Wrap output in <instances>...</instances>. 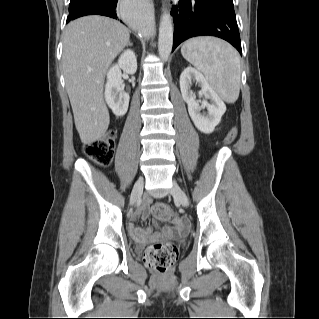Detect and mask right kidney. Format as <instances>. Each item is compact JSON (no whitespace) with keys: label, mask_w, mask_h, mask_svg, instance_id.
<instances>
[{"label":"right kidney","mask_w":319,"mask_h":319,"mask_svg":"<svg viewBox=\"0 0 319 319\" xmlns=\"http://www.w3.org/2000/svg\"><path fill=\"white\" fill-rule=\"evenodd\" d=\"M135 74L137 70V60L132 50H125L107 73V83L105 86V100L116 116L126 114L129 106V94L121 87L122 72Z\"/></svg>","instance_id":"obj_1"}]
</instances>
